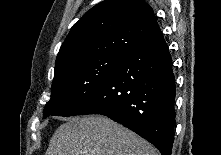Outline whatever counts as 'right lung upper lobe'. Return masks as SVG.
Here are the masks:
<instances>
[{"label":"right lung upper lobe","instance_id":"obj_1","mask_svg":"<svg viewBox=\"0 0 221 155\" xmlns=\"http://www.w3.org/2000/svg\"><path fill=\"white\" fill-rule=\"evenodd\" d=\"M160 33L152 8L142 0H105L71 28L56 58L55 73L79 59L126 54Z\"/></svg>","mask_w":221,"mask_h":155}]
</instances>
